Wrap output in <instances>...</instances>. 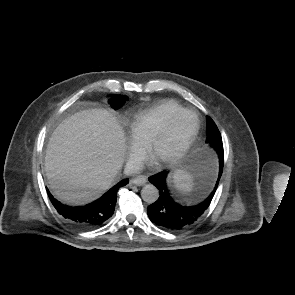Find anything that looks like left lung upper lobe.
<instances>
[{"label":"left lung upper lobe","mask_w":295,"mask_h":295,"mask_svg":"<svg viewBox=\"0 0 295 295\" xmlns=\"http://www.w3.org/2000/svg\"><path fill=\"white\" fill-rule=\"evenodd\" d=\"M207 138L206 143L210 144L215 150L223 152V144L221 134L210 117H207Z\"/></svg>","instance_id":"1"}]
</instances>
